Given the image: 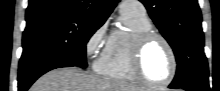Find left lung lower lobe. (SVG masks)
Here are the masks:
<instances>
[{
    "label": "left lung lower lobe",
    "mask_w": 220,
    "mask_h": 91,
    "mask_svg": "<svg viewBox=\"0 0 220 91\" xmlns=\"http://www.w3.org/2000/svg\"><path fill=\"white\" fill-rule=\"evenodd\" d=\"M169 88H173V86H169ZM187 91H209V86H200V85H188L180 87ZM175 89V88H173Z\"/></svg>",
    "instance_id": "1"
}]
</instances>
